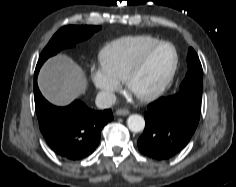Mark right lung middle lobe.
Returning a JSON list of instances; mask_svg holds the SVG:
<instances>
[{
  "mask_svg": "<svg viewBox=\"0 0 236 187\" xmlns=\"http://www.w3.org/2000/svg\"><path fill=\"white\" fill-rule=\"evenodd\" d=\"M100 26H64L49 41L40 54L35 71L38 73L42 64L50 57L64 48H70L77 42L88 39Z\"/></svg>",
  "mask_w": 236,
  "mask_h": 187,
  "instance_id": "1",
  "label": "right lung middle lobe"
}]
</instances>
